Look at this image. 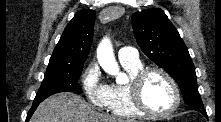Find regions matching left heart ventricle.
<instances>
[{
    "label": "left heart ventricle",
    "mask_w": 221,
    "mask_h": 122,
    "mask_svg": "<svg viewBox=\"0 0 221 122\" xmlns=\"http://www.w3.org/2000/svg\"><path fill=\"white\" fill-rule=\"evenodd\" d=\"M143 98L155 112H166L174 103V94L169 82L160 74H151L143 85Z\"/></svg>",
    "instance_id": "left-heart-ventricle-1"
}]
</instances>
